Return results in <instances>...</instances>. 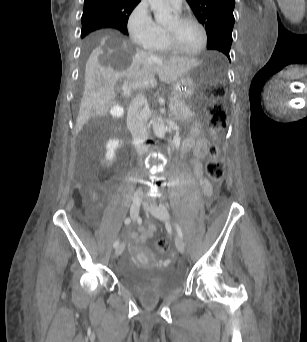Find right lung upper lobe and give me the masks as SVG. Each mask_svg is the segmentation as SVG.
<instances>
[{
	"instance_id": "obj_1",
	"label": "right lung upper lobe",
	"mask_w": 307,
	"mask_h": 342,
	"mask_svg": "<svg viewBox=\"0 0 307 342\" xmlns=\"http://www.w3.org/2000/svg\"><path fill=\"white\" fill-rule=\"evenodd\" d=\"M141 0H85L83 12H96L104 15L109 25L127 31V22L132 10Z\"/></svg>"
}]
</instances>
